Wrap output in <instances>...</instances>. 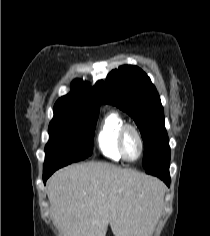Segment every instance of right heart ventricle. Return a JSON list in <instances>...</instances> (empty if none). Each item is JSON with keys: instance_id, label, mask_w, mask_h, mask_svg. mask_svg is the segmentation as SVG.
<instances>
[{"instance_id": "right-heart-ventricle-1", "label": "right heart ventricle", "mask_w": 210, "mask_h": 236, "mask_svg": "<svg viewBox=\"0 0 210 236\" xmlns=\"http://www.w3.org/2000/svg\"><path fill=\"white\" fill-rule=\"evenodd\" d=\"M125 124L122 116L116 111H108L102 118L98 133L97 144L101 153L112 160H122L118 149V134L120 128Z\"/></svg>"}]
</instances>
